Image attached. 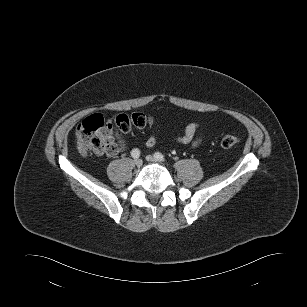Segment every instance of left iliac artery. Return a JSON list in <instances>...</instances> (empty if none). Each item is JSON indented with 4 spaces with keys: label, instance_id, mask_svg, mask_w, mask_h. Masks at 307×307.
Masks as SVG:
<instances>
[{
    "label": "left iliac artery",
    "instance_id": "left-iliac-artery-1",
    "mask_svg": "<svg viewBox=\"0 0 307 307\" xmlns=\"http://www.w3.org/2000/svg\"><path fill=\"white\" fill-rule=\"evenodd\" d=\"M154 157H155L158 161H164V160H165L164 156H163L161 153H159V152H155Z\"/></svg>",
    "mask_w": 307,
    "mask_h": 307
}]
</instances>
